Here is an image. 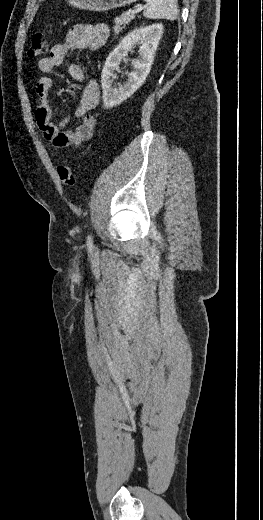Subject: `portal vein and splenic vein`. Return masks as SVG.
I'll list each match as a JSON object with an SVG mask.
<instances>
[{"label":"portal vein and splenic vein","mask_w":263,"mask_h":520,"mask_svg":"<svg viewBox=\"0 0 263 520\" xmlns=\"http://www.w3.org/2000/svg\"><path fill=\"white\" fill-rule=\"evenodd\" d=\"M147 8V5H140L138 6L135 10H133V13H139L141 12L142 10L146 9Z\"/></svg>","instance_id":"1"}]
</instances>
